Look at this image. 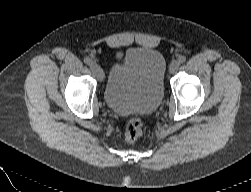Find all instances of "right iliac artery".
<instances>
[{"label": "right iliac artery", "instance_id": "82829eb1", "mask_svg": "<svg viewBox=\"0 0 251 192\" xmlns=\"http://www.w3.org/2000/svg\"><path fill=\"white\" fill-rule=\"evenodd\" d=\"M84 62H85L87 65H91L93 61H92L91 58L85 57V58H84Z\"/></svg>", "mask_w": 251, "mask_h": 192}]
</instances>
